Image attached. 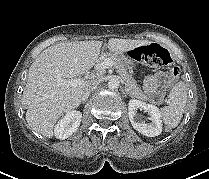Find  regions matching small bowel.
Wrapping results in <instances>:
<instances>
[{"instance_id": "obj_1", "label": "small bowel", "mask_w": 209, "mask_h": 179, "mask_svg": "<svg viewBox=\"0 0 209 179\" xmlns=\"http://www.w3.org/2000/svg\"><path fill=\"white\" fill-rule=\"evenodd\" d=\"M166 85V75L163 72L150 74L144 83V89L150 100L160 103L163 99Z\"/></svg>"}]
</instances>
